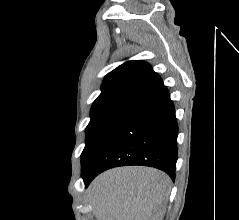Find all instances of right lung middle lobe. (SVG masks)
Returning a JSON list of instances; mask_svg holds the SVG:
<instances>
[{
    "label": "right lung middle lobe",
    "mask_w": 239,
    "mask_h": 220,
    "mask_svg": "<svg viewBox=\"0 0 239 220\" xmlns=\"http://www.w3.org/2000/svg\"><path fill=\"white\" fill-rule=\"evenodd\" d=\"M131 107L120 106L90 115L86 145L81 154L82 177L91 171Z\"/></svg>",
    "instance_id": "1"
}]
</instances>
